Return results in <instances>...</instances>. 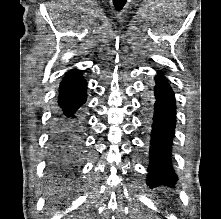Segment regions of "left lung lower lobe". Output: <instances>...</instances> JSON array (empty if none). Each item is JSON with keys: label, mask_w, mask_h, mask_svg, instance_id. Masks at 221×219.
<instances>
[{"label": "left lung lower lobe", "mask_w": 221, "mask_h": 219, "mask_svg": "<svg viewBox=\"0 0 221 219\" xmlns=\"http://www.w3.org/2000/svg\"><path fill=\"white\" fill-rule=\"evenodd\" d=\"M156 97L152 124L148 185L173 186L177 181L171 163V146L176 125L175 96L162 72L155 77Z\"/></svg>", "instance_id": "1"}]
</instances>
